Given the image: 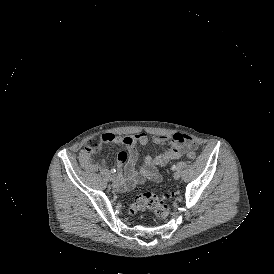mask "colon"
I'll list each match as a JSON object with an SVG mask.
<instances>
[{
    "label": "colon",
    "mask_w": 274,
    "mask_h": 274,
    "mask_svg": "<svg viewBox=\"0 0 274 274\" xmlns=\"http://www.w3.org/2000/svg\"><path fill=\"white\" fill-rule=\"evenodd\" d=\"M102 148L103 147H101L99 142V136H95L86 144L85 154L89 156L90 152H100ZM186 158L189 161L197 160V157L192 150L187 152ZM169 199L170 194L167 192H164L161 195H156L152 192H144L135 196V198L125 206L130 213H137L144 209H150L155 216L163 218L169 214V207L167 206V201Z\"/></svg>",
    "instance_id": "obj_1"
}]
</instances>
